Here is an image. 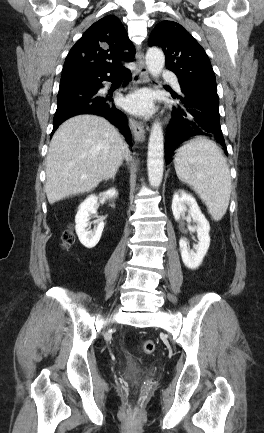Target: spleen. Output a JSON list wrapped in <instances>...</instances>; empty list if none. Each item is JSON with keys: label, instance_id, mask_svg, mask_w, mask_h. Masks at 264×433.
Returning a JSON list of instances; mask_svg holds the SVG:
<instances>
[{"label": "spleen", "instance_id": "spleen-1", "mask_svg": "<svg viewBox=\"0 0 264 433\" xmlns=\"http://www.w3.org/2000/svg\"><path fill=\"white\" fill-rule=\"evenodd\" d=\"M174 165L179 180L193 188L215 221L221 220L232 186L226 158L217 144L196 137L176 151Z\"/></svg>", "mask_w": 264, "mask_h": 433}]
</instances>
